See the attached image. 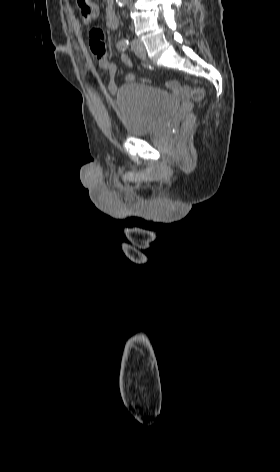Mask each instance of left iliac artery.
Here are the masks:
<instances>
[{
  "label": "left iliac artery",
  "mask_w": 280,
  "mask_h": 472,
  "mask_svg": "<svg viewBox=\"0 0 280 472\" xmlns=\"http://www.w3.org/2000/svg\"><path fill=\"white\" fill-rule=\"evenodd\" d=\"M129 46V41L128 39H122L117 43V48L119 50L125 51L128 49Z\"/></svg>",
  "instance_id": "obj_1"
}]
</instances>
